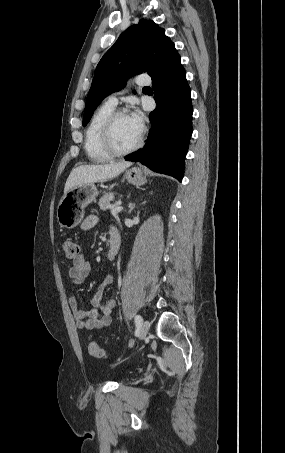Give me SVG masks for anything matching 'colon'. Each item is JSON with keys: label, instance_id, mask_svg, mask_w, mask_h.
Returning <instances> with one entry per match:
<instances>
[{"label": "colon", "instance_id": "5ec220e1", "mask_svg": "<svg viewBox=\"0 0 285 453\" xmlns=\"http://www.w3.org/2000/svg\"><path fill=\"white\" fill-rule=\"evenodd\" d=\"M62 250L68 260H76L81 254V247L77 241L67 238L62 243ZM89 354L97 359L106 358L105 351L94 341H89L87 344Z\"/></svg>", "mask_w": 285, "mask_h": 453}]
</instances>
